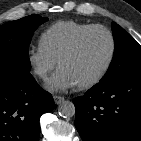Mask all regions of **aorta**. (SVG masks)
<instances>
[{
    "mask_svg": "<svg viewBox=\"0 0 141 141\" xmlns=\"http://www.w3.org/2000/svg\"><path fill=\"white\" fill-rule=\"evenodd\" d=\"M58 113L63 118H71L75 115V106L71 101H63L58 107Z\"/></svg>",
    "mask_w": 141,
    "mask_h": 141,
    "instance_id": "1",
    "label": "aorta"
}]
</instances>
